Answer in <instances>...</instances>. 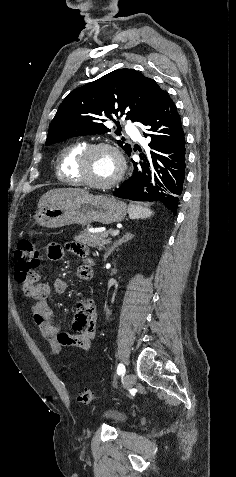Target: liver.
Here are the masks:
<instances>
[{"instance_id":"6515ba94","label":"liver","mask_w":236,"mask_h":477,"mask_svg":"<svg viewBox=\"0 0 236 477\" xmlns=\"http://www.w3.org/2000/svg\"><path fill=\"white\" fill-rule=\"evenodd\" d=\"M88 193L86 190L79 188H60L50 190L40 198L38 208L41 209L48 204H56L68 198H72L81 194Z\"/></svg>"}]
</instances>
